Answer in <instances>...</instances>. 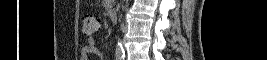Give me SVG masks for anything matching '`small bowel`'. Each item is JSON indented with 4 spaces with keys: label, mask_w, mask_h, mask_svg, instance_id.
<instances>
[{
    "label": "small bowel",
    "mask_w": 267,
    "mask_h": 60,
    "mask_svg": "<svg viewBox=\"0 0 267 60\" xmlns=\"http://www.w3.org/2000/svg\"><path fill=\"white\" fill-rule=\"evenodd\" d=\"M83 53L86 56L95 55L100 59L102 58V51L96 46V42L93 37H89L86 41V44L83 47Z\"/></svg>",
    "instance_id": "obj_1"
}]
</instances>
